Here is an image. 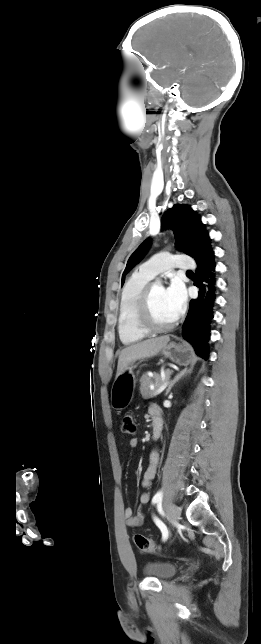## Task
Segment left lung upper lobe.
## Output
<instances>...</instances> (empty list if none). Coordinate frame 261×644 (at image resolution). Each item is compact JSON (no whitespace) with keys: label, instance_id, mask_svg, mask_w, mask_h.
Masks as SVG:
<instances>
[{"label":"left lung upper lobe","instance_id":"1","mask_svg":"<svg viewBox=\"0 0 261 644\" xmlns=\"http://www.w3.org/2000/svg\"><path fill=\"white\" fill-rule=\"evenodd\" d=\"M161 228L162 230L172 229L175 246L185 254L193 257L197 263L202 262L214 253L210 246L211 239L204 224L196 212L187 205L175 204L173 208L169 209L162 217ZM149 247L150 240H145L130 256L122 275V285L125 280V274L143 258Z\"/></svg>","mask_w":261,"mask_h":644}]
</instances>
